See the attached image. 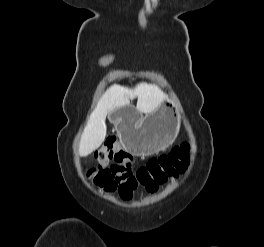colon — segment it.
<instances>
[{
	"mask_svg": "<svg viewBox=\"0 0 264 247\" xmlns=\"http://www.w3.org/2000/svg\"><path fill=\"white\" fill-rule=\"evenodd\" d=\"M116 136L110 133L105 146L98 150V165L88 170V176L108 192H116L123 199L132 198L139 186L153 192L169 178L186 170L190 146L184 143L170 153L149 160L136 172L132 170L133 156L115 146ZM112 162L110 166L109 163Z\"/></svg>",
	"mask_w": 264,
	"mask_h": 247,
	"instance_id": "obj_1",
	"label": "colon"
}]
</instances>
